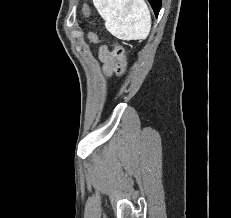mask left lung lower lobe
I'll use <instances>...</instances> for the list:
<instances>
[{"instance_id":"obj_1","label":"left lung lower lobe","mask_w":231,"mask_h":218,"mask_svg":"<svg viewBox=\"0 0 231 218\" xmlns=\"http://www.w3.org/2000/svg\"><path fill=\"white\" fill-rule=\"evenodd\" d=\"M148 1L152 6L155 15L158 16V13H159L160 8H161V1L162 0H148Z\"/></svg>"}]
</instances>
